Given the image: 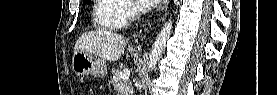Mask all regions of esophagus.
Wrapping results in <instances>:
<instances>
[{
	"mask_svg": "<svg viewBox=\"0 0 277 95\" xmlns=\"http://www.w3.org/2000/svg\"><path fill=\"white\" fill-rule=\"evenodd\" d=\"M169 2V0H163L159 6V9H161L162 11L167 10Z\"/></svg>",
	"mask_w": 277,
	"mask_h": 95,
	"instance_id": "esophagus-1",
	"label": "esophagus"
}]
</instances>
